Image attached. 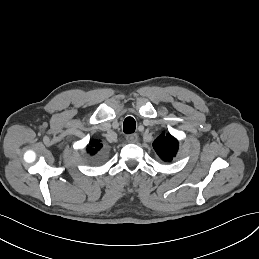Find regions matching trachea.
I'll return each instance as SVG.
<instances>
[{"mask_svg": "<svg viewBox=\"0 0 259 259\" xmlns=\"http://www.w3.org/2000/svg\"><path fill=\"white\" fill-rule=\"evenodd\" d=\"M136 123L135 120L132 117H127L124 121L123 130L124 133L130 134L135 131Z\"/></svg>", "mask_w": 259, "mask_h": 259, "instance_id": "trachea-1", "label": "trachea"}]
</instances>
